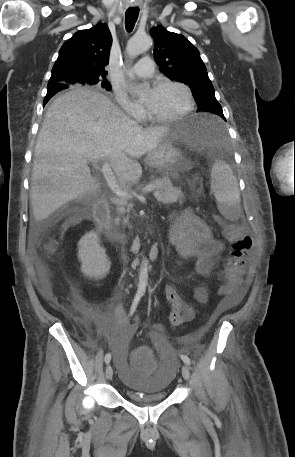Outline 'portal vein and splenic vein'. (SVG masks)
<instances>
[{"label":"portal vein and splenic vein","mask_w":295,"mask_h":457,"mask_svg":"<svg viewBox=\"0 0 295 457\" xmlns=\"http://www.w3.org/2000/svg\"><path fill=\"white\" fill-rule=\"evenodd\" d=\"M101 169H102L103 175L106 179V182H107L108 186L110 187V189L113 191V193H115L117 196H119L121 198H127L128 194L118 185L116 177H115L108 161H105L103 163ZM154 189H155V184H149L145 187L144 191L150 192V191H153Z\"/></svg>","instance_id":"portal-vein-and-splenic-vein-1"}]
</instances>
